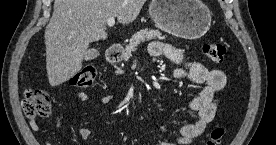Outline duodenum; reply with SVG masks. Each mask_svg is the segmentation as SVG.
Masks as SVG:
<instances>
[{"label": "duodenum", "mask_w": 276, "mask_h": 145, "mask_svg": "<svg viewBox=\"0 0 276 145\" xmlns=\"http://www.w3.org/2000/svg\"><path fill=\"white\" fill-rule=\"evenodd\" d=\"M123 54V47L118 45H112L107 50V58L109 61H117Z\"/></svg>", "instance_id": "obj_1"}]
</instances>
